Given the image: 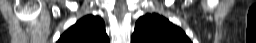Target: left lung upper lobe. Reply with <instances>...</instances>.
Instances as JSON below:
<instances>
[{
    "label": "left lung upper lobe",
    "mask_w": 256,
    "mask_h": 43,
    "mask_svg": "<svg viewBox=\"0 0 256 43\" xmlns=\"http://www.w3.org/2000/svg\"><path fill=\"white\" fill-rule=\"evenodd\" d=\"M131 43H191L184 31L158 14L138 19Z\"/></svg>",
    "instance_id": "left-lung-upper-lobe-1"
}]
</instances>
